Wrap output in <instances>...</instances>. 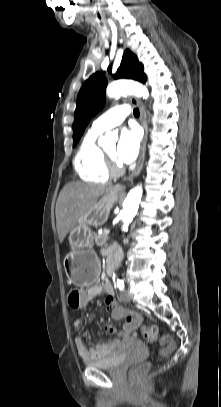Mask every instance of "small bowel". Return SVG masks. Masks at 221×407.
<instances>
[{"label":"small bowel","instance_id":"obj_1","mask_svg":"<svg viewBox=\"0 0 221 407\" xmlns=\"http://www.w3.org/2000/svg\"><path fill=\"white\" fill-rule=\"evenodd\" d=\"M86 286H88V288H89V293H88V295H86V304H88L91 300H93L100 294L106 293L107 296L105 298V305L108 309L112 310V309H114L115 305H121L115 299L114 294H113L112 285L108 281L92 282V283L87 284ZM81 324H82V320H80V319H76L74 321L75 328H79L81 326ZM105 329L107 330V332L110 335H115L117 332L116 328L114 326H112L111 324H107L105 326ZM132 331H134V330H125L124 329L125 333H130ZM75 345H76L80 358L84 361H89V360L101 359V358H104V357L108 356L109 354H111L119 346V340H113L112 342H104L95 348H88L82 337H76Z\"/></svg>","mask_w":221,"mask_h":407}]
</instances>
